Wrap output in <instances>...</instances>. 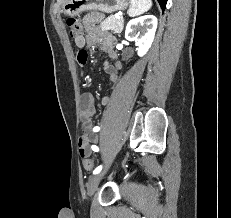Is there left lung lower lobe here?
Wrapping results in <instances>:
<instances>
[{
	"label": "left lung lower lobe",
	"mask_w": 231,
	"mask_h": 218,
	"mask_svg": "<svg viewBox=\"0 0 231 218\" xmlns=\"http://www.w3.org/2000/svg\"><path fill=\"white\" fill-rule=\"evenodd\" d=\"M162 8V10H165L167 0H157Z\"/></svg>",
	"instance_id": "obj_1"
}]
</instances>
